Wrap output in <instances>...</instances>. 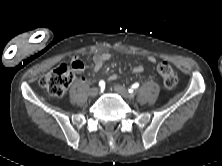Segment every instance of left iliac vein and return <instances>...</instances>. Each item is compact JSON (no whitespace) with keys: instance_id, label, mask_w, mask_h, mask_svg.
I'll return each mask as SVG.
<instances>
[{"instance_id":"4c4485c4","label":"left iliac vein","mask_w":222,"mask_h":166,"mask_svg":"<svg viewBox=\"0 0 222 166\" xmlns=\"http://www.w3.org/2000/svg\"><path fill=\"white\" fill-rule=\"evenodd\" d=\"M114 90H115L118 94H120L121 96H123V97L126 98V99H131V98L133 97V95L130 94V93L128 92V90H127L125 87L121 86V85H115V86H114Z\"/></svg>"}]
</instances>
